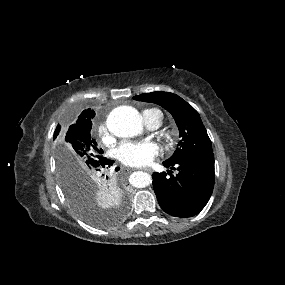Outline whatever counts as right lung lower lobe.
Wrapping results in <instances>:
<instances>
[{
  "instance_id": "98d812e1",
  "label": "right lung lower lobe",
  "mask_w": 285,
  "mask_h": 285,
  "mask_svg": "<svg viewBox=\"0 0 285 285\" xmlns=\"http://www.w3.org/2000/svg\"><path fill=\"white\" fill-rule=\"evenodd\" d=\"M112 164H113L112 160H108L107 158H104V157L101 159V162H100L101 169H103V170L109 168ZM116 170H118V168ZM107 179H108V177H107ZM109 182H111V181L109 180ZM113 194H115V193H113Z\"/></svg>"
}]
</instances>
